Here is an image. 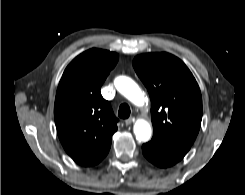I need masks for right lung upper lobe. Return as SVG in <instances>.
Instances as JSON below:
<instances>
[{"label":"right lung upper lobe","mask_w":245,"mask_h":195,"mask_svg":"<svg viewBox=\"0 0 245 195\" xmlns=\"http://www.w3.org/2000/svg\"><path fill=\"white\" fill-rule=\"evenodd\" d=\"M118 54L90 49L66 67L57 88L54 118L59 139L82 166L98 164L108 153L118 119L100 88Z\"/></svg>","instance_id":"obj_1"}]
</instances>
